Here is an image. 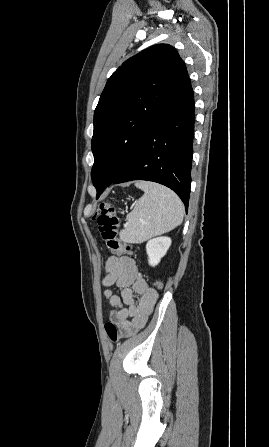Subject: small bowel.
<instances>
[{
  "label": "small bowel",
  "instance_id": "c3829d8e",
  "mask_svg": "<svg viewBox=\"0 0 269 447\" xmlns=\"http://www.w3.org/2000/svg\"><path fill=\"white\" fill-rule=\"evenodd\" d=\"M105 270L103 286L115 285L120 291L118 295L109 288L104 290L105 298L115 308L109 312V319L119 328L143 327L157 302V291L149 286L130 257H109Z\"/></svg>",
  "mask_w": 269,
  "mask_h": 447
}]
</instances>
